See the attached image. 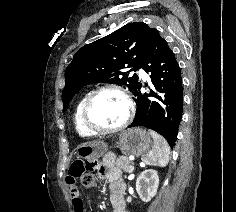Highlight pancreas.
Masks as SVG:
<instances>
[{
  "label": "pancreas",
  "mask_w": 236,
  "mask_h": 212,
  "mask_svg": "<svg viewBox=\"0 0 236 212\" xmlns=\"http://www.w3.org/2000/svg\"><path fill=\"white\" fill-rule=\"evenodd\" d=\"M131 162L130 160L128 159L127 156L123 155V156H120L117 160H116V166L123 170L124 172H127V173H131L133 170H131Z\"/></svg>",
  "instance_id": "obj_1"
}]
</instances>
